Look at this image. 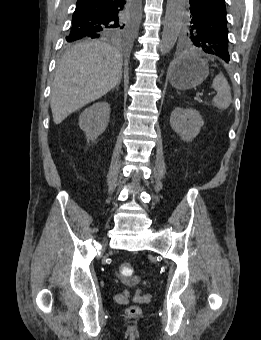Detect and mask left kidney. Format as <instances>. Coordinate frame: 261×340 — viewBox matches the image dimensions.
<instances>
[{"instance_id": "5707ae66", "label": "left kidney", "mask_w": 261, "mask_h": 340, "mask_svg": "<svg viewBox=\"0 0 261 340\" xmlns=\"http://www.w3.org/2000/svg\"><path fill=\"white\" fill-rule=\"evenodd\" d=\"M170 125L182 140L190 142L199 134L204 121L197 110L176 107L171 113Z\"/></svg>"}]
</instances>
